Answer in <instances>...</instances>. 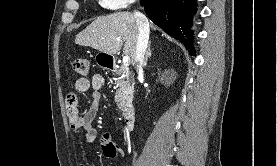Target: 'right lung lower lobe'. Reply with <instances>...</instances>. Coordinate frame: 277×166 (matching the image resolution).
Returning a JSON list of instances; mask_svg holds the SVG:
<instances>
[{"mask_svg":"<svg viewBox=\"0 0 277 166\" xmlns=\"http://www.w3.org/2000/svg\"><path fill=\"white\" fill-rule=\"evenodd\" d=\"M140 3L156 25L180 40L191 55L195 54L190 28L196 13V0H141Z\"/></svg>","mask_w":277,"mask_h":166,"instance_id":"1","label":"right lung lower lobe"}]
</instances>
